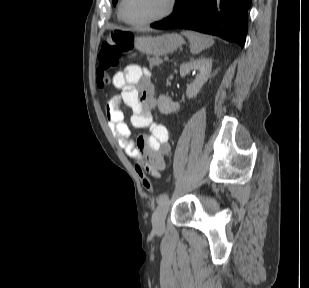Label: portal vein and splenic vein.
Here are the masks:
<instances>
[{
  "label": "portal vein and splenic vein",
  "instance_id": "portal-vein-and-splenic-vein-1",
  "mask_svg": "<svg viewBox=\"0 0 309 288\" xmlns=\"http://www.w3.org/2000/svg\"><path fill=\"white\" fill-rule=\"evenodd\" d=\"M164 60H165V61H168V60H169L168 56H165V57H164Z\"/></svg>",
  "mask_w": 309,
  "mask_h": 288
}]
</instances>
